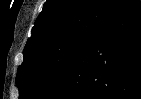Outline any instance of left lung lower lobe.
Returning a JSON list of instances; mask_svg holds the SVG:
<instances>
[{"mask_svg":"<svg viewBox=\"0 0 141 99\" xmlns=\"http://www.w3.org/2000/svg\"><path fill=\"white\" fill-rule=\"evenodd\" d=\"M38 99H141V4L122 0Z\"/></svg>","mask_w":141,"mask_h":99,"instance_id":"0a47b994","label":"left lung lower lobe"}]
</instances>
